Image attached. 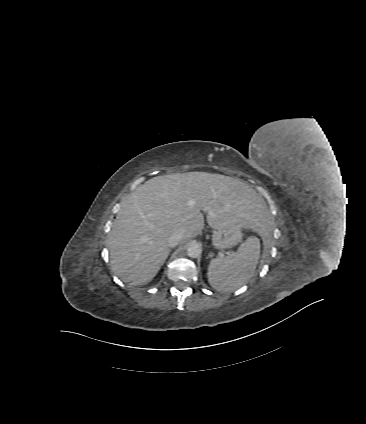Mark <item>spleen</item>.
<instances>
[{
	"instance_id": "obj_1",
	"label": "spleen",
	"mask_w": 366,
	"mask_h": 424,
	"mask_svg": "<svg viewBox=\"0 0 366 424\" xmlns=\"http://www.w3.org/2000/svg\"><path fill=\"white\" fill-rule=\"evenodd\" d=\"M260 256V241L249 237L236 252L212 259L207 272L209 284L221 292H233L255 273Z\"/></svg>"
}]
</instances>
